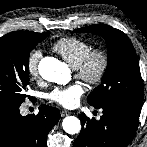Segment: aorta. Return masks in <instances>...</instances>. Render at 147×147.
Instances as JSON below:
<instances>
[{
    "label": "aorta",
    "instance_id": "obj_1",
    "mask_svg": "<svg viewBox=\"0 0 147 147\" xmlns=\"http://www.w3.org/2000/svg\"><path fill=\"white\" fill-rule=\"evenodd\" d=\"M38 70L41 77L49 82L65 85L71 79L67 64L53 57L43 58L39 62ZM62 127L66 133L73 135L80 131L81 123L77 117L68 116L64 118Z\"/></svg>",
    "mask_w": 147,
    "mask_h": 147
}]
</instances>
